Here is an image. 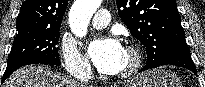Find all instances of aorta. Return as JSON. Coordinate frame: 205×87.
Returning a JSON list of instances; mask_svg holds the SVG:
<instances>
[{
	"instance_id": "762f6f07",
	"label": "aorta",
	"mask_w": 205,
	"mask_h": 87,
	"mask_svg": "<svg viewBox=\"0 0 205 87\" xmlns=\"http://www.w3.org/2000/svg\"><path fill=\"white\" fill-rule=\"evenodd\" d=\"M101 3L102 0H75L69 11V25L76 37L86 36L89 21Z\"/></svg>"
}]
</instances>
